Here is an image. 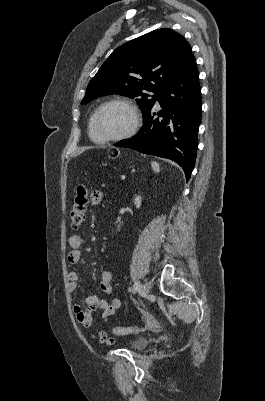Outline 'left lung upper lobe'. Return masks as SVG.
<instances>
[{
    "instance_id": "left-lung-upper-lobe-1",
    "label": "left lung upper lobe",
    "mask_w": 265,
    "mask_h": 401,
    "mask_svg": "<svg viewBox=\"0 0 265 401\" xmlns=\"http://www.w3.org/2000/svg\"><path fill=\"white\" fill-rule=\"evenodd\" d=\"M191 56V46L181 34L168 28L149 32L118 47L108 57L90 81L81 103L109 94L140 97L136 102L144 115Z\"/></svg>"
}]
</instances>
